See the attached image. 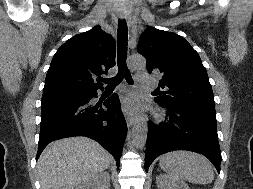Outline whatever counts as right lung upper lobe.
Returning a JSON list of instances; mask_svg holds the SVG:
<instances>
[{
	"label": "right lung upper lobe",
	"instance_id": "right-lung-upper-lobe-1",
	"mask_svg": "<svg viewBox=\"0 0 253 189\" xmlns=\"http://www.w3.org/2000/svg\"><path fill=\"white\" fill-rule=\"evenodd\" d=\"M115 50V40L99 25L73 36L53 56L43 92L103 89L94 80L115 65Z\"/></svg>",
	"mask_w": 253,
	"mask_h": 189
}]
</instances>
